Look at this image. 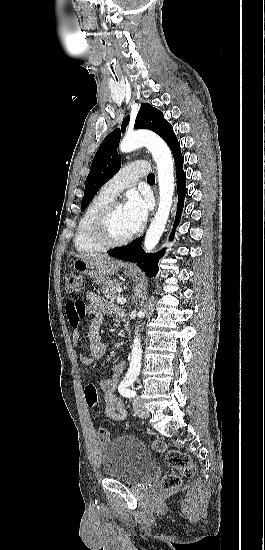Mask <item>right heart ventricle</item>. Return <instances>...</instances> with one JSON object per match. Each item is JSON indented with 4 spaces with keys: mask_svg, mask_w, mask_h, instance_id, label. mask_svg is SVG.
<instances>
[{
    "mask_svg": "<svg viewBox=\"0 0 265 550\" xmlns=\"http://www.w3.org/2000/svg\"><path fill=\"white\" fill-rule=\"evenodd\" d=\"M114 198L100 190L86 206L76 228L74 236L75 248L82 253L103 251L105 247L94 239L91 234V222L95 215Z\"/></svg>",
    "mask_w": 265,
    "mask_h": 550,
    "instance_id": "obj_1",
    "label": "right heart ventricle"
}]
</instances>
